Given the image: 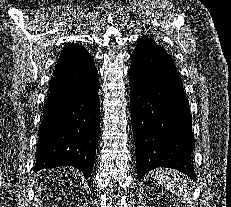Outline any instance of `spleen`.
I'll list each match as a JSON object with an SVG mask.
<instances>
[{"mask_svg":"<svg viewBox=\"0 0 231 207\" xmlns=\"http://www.w3.org/2000/svg\"><path fill=\"white\" fill-rule=\"evenodd\" d=\"M151 174L159 184L175 193L184 203L191 202V193L188 190L187 181L175 170L156 169Z\"/></svg>","mask_w":231,"mask_h":207,"instance_id":"spleen-1","label":"spleen"}]
</instances>
